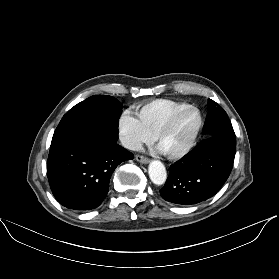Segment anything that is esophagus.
<instances>
[{"label":"esophagus","mask_w":279,"mask_h":279,"mask_svg":"<svg viewBox=\"0 0 279 279\" xmlns=\"http://www.w3.org/2000/svg\"><path fill=\"white\" fill-rule=\"evenodd\" d=\"M135 159L142 164H147L149 162L148 158L141 155H136Z\"/></svg>","instance_id":"34e87169"}]
</instances>
